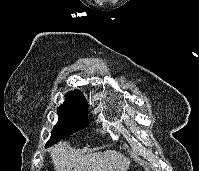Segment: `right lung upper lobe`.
Masks as SVG:
<instances>
[{"label": "right lung upper lobe", "mask_w": 199, "mask_h": 171, "mask_svg": "<svg viewBox=\"0 0 199 171\" xmlns=\"http://www.w3.org/2000/svg\"><path fill=\"white\" fill-rule=\"evenodd\" d=\"M65 100H66L65 103H67V104H75V105L87 104L85 97L78 90L68 92L65 95Z\"/></svg>", "instance_id": "obj_1"}]
</instances>
